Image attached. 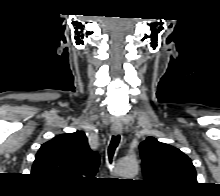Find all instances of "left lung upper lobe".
<instances>
[{
    "mask_svg": "<svg viewBox=\"0 0 220 196\" xmlns=\"http://www.w3.org/2000/svg\"><path fill=\"white\" fill-rule=\"evenodd\" d=\"M145 182L166 194L185 192L196 185L192 161L179 149L148 137L140 146Z\"/></svg>",
    "mask_w": 220,
    "mask_h": 196,
    "instance_id": "1",
    "label": "left lung upper lobe"
}]
</instances>
